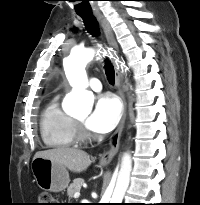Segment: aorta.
Instances as JSON below:
<instances>
[{
	"label": "aorta",
	"mask_w": 200,
	"mask_h": 205,
	"mask_svg": "<svg viewBox=\"0 0 200 205\" xmlns=\"http://www.w3.org/2000/svg\"><path fill=\"white\" fill-rule=\"evenodd\" d=\"M96 51L93 48H75L64 60L66 77L72 86L69 94V107L72 112L89 114L93 106V94L86 90L88 79L85 71ZM132 171V159L130 153L123 156L121 168L117 176L116 185L112 194L105 193L100 203L120 204L129 186L130 173Z\"/></svg>",
	"instance_id": "obj_1"
}]
</instances>
